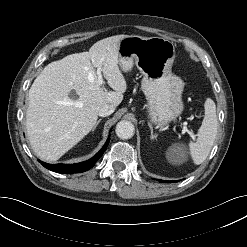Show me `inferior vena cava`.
I'll return each mask as SVG.
<instances>
[{"mask_svg":"<svg viewBox=\"0 0 247 247\" xmlns=\"http://www.w3.org/2000/svg\"><path fill=\"white\" fill-rule=\"evenodd\" d=\"M114 110L115 107L113 105L105 104L99 108L98 115L101 117L109 116L114 112Z\"/></svg>","mask_w":247,"mask_h":247,"instance_id":"obj_1","label":"inferior vena cava"}]
</instances>
